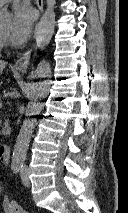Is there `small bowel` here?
I'll list each match as a JSON object with an SVG mask.
<instances>
[{
  "instance_id": "obj_1",
  "label": "small bowel",
  "mask_w": 128,
  "mask_h": 213,
  "mask_svg": "<svg viewBox=\"0 0 128 213\" xmlns=\"http://www.w3.org/2000/svg\"><path fill=\"white\" fill-rule=\"evenodd\" d=\"M2 213H10V210L8 208V200H7V197H5L3 199V202H2Z\"/></svg>"
}]
</instances>
